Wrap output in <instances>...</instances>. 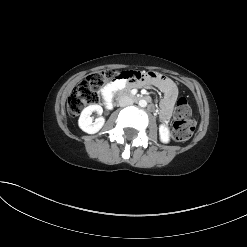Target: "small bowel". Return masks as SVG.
Segmentation results:
<instances>
[{"label": "small bowel", "instance_id": "obj_1", "mask_svg": "<svg viewBox=\"0 0 247 247\" xmlns=\"http://www.w3.org/2000/svg\"><path fill=\"white\" fill-rule=\"evenodd\" d=\"M141 82H147L157 86L164 94L160 105V119L168 122L172 115V110L178 96V89L172 80L159 75L154 71H135L128 68L124 72V77L118 78L103 87L102 96L107 109L112 108V99L116 92L127 85L136 86Z\"/></svg>", "mask_w": 247, "mask_h": 247}]
</instances>
